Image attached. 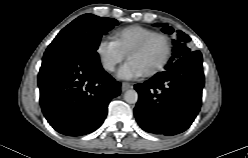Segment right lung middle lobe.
I'll return each instance as SVG.
<instances>
[{
  "mask_svg": "<svg viewBox=\"0 0 248 158\" xmlns=\"http://www.w3.org/2000/svg\"><path fill=\"white\" fill-rule=\"evenodd\" d=\"M118 24L113 18L84 14L68 24L49 47L65 46L79 50L97 51L100 39Z\"/></svg>",
  "mask_w": 248,
  "mask_h": 158,
  "instance_id": "right-lung-middle-lobe-1",
  "label": "right lung middle lobe"
}]
</instances>
